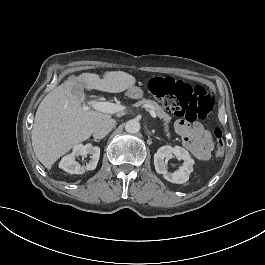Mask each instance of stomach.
Returning a JSON list of instances; mask_svg holds the SVG:
<instances>
[{"instance_id": "0dacf381", "label": "stomach", "mask_w": 265, "mask_h": 265, "mask_svg": "<svg viewBox=\"0 0 265 265\" xmlns=\"http://www.w3.org/2000/svg\"><path fill=\"white\" fill-rule=\"evenodd\" d=\"M126 95L133 99H139V98H142L143 91L139 87L133 86L129 88Z\"/></svg>"}]
</instances>
